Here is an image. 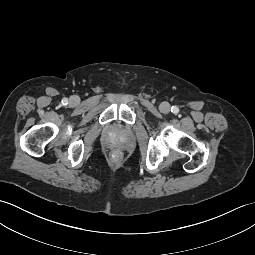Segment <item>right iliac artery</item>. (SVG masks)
<instances>
[{"label":"right iliac artery","instance_id":"right-iliac-artery-1","mask_svg":"<svg viewBox=\"0 0 255 255\" xmlns=\"http://www.w3.org/2000/svg\"><path fill=\"white\" fill-rule=\"evenodd\" d=\"M62 103H63V104H67V103H68V99H67V98H64V99L62 100Z\"/></svg>","mask_w":255,"mask_h":255}]
</instances>
